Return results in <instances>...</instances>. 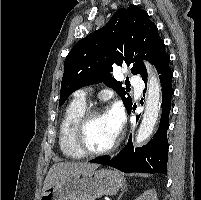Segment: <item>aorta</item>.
I'll use <instances>...</instances> for the list:
<instances>
[{
	"label": "aorta",
	"instance_id": "762f6f07",
	"mask_svg": "<svg viewBox=\"0 0 201 200\" xmlns=\"http://www.w3.org/2000/svg\"><path fill=\"white\" fill-rule=\"evenodd\" d=\"M148 91L145 112L136 136V143L141 144L153 133L161 107V87L155 70L148 65Z\"/></svg>",
	"mask_w": 201,
	"mask_h": 200
}]
</instances>
